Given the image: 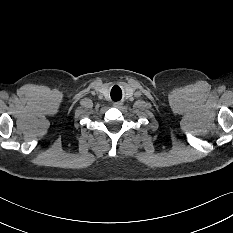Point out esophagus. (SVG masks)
<instances>
[{"label": "esophagus", "mask_w": 233, "mask_h": 233, "mask_svg": "<svg viewBox=\"0 0 233 233\" xmlns=\"http://www.w3.org/2000/svg\"><path fill=\"white\" fill-rule=\"evenodd\" d=\"M113 106H114V107H117V108H121V107L123 106V103H122L121 101L115 102V103L113 104Z\"/></svg>", "instance_id": "esophagus-1"}]
</instances>
